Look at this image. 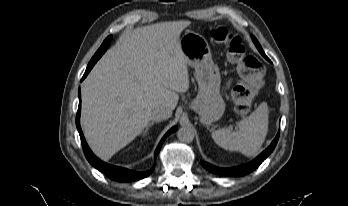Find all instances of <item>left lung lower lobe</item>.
<instances>
[{
    "instance_id": "left-lung-lower-lobe-1",
    "label": "left lung lower lobe",
    "mask_w": 348,
    "mask_h": 206,
    "mask_svg": "<svg viewBox=\"0 0 348 206\" xmlns=\"http://www.w3.org/2000/svg\"><path fill=\"white\" fill-rule=\"evenodd\" d=\"M279 138V132L271 145L264 150L256 159L251 161L248 164H245L243 166H238V167H233V168H219L215 167L207 162H201L204 168H206L208 171L219 174V175H224V176H243L246 175L256 168L267 158V156L274 150L277 141Z\"/></svg>"
}]
</instances>
